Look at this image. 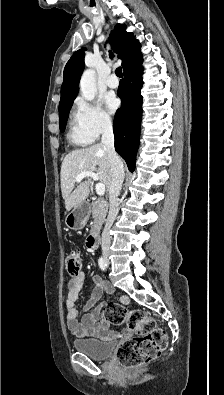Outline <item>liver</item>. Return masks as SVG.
<instances>
[{"mask_svg":"<svg viewBox=\"0 0 224 395\" xmlns=\"http://www.w3.org/2000/svg\"><path fill=\"white\" fill-rule=\"evenodd\" d=\"M84 171L96 173L100 183H103L107 189L110 188L111 167L107 150L102 143L74 150L65 156L61 165L60 176L62 197L65 200L67 211L85 202L89 196L92 184L91 178H85L75 188V178Z\"/></svg>","mask_w":224,"mask_h":395,"instance_id":"1","label":"liver"}]
</instances>
